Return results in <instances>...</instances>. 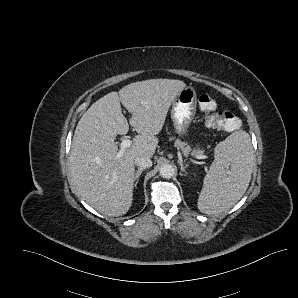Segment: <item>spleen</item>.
Segmentation results:
<instances>
[{
    "mask_svg": "<svg viewBox=\"0 0 298 298\" xmlns=\"http://www.w3.org/2000/svg\"><path fill=\"white\" fill-rule=\"evenodd\" d=\"M253 160V146L247 132H234L220 141L203 180L199 210L216 215L231 208L249 186Z\"/></svg>",
    "mask_w": 298,
    "mask_h": 298,
    "instance_id": "3e777b00",
    "label": "spleen"
}]
</instances>
